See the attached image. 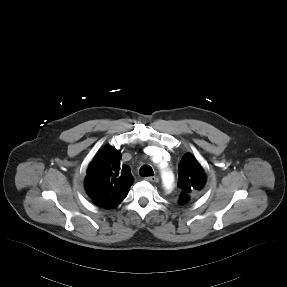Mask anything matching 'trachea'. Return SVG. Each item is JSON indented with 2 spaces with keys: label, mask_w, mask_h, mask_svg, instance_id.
I'll return each mask as SVG.
<instances>
[{
  "label": "trachea",
  "mask_w": 287,
  "mask_h": 287,
  "mask_svg": "<svg viewBox=\"0 0 287 287\" xmlns=\"http://www.w3.org/2000/svg\"><path fill=\"white\" fill-rule=\"evenodd\" d=\"M139 174L140 176L148 177V176H153L154 172L151 166L143 165L139 170Z\"/></svg>",
  "instance_id": "trachea-1"
}]
</instances>
